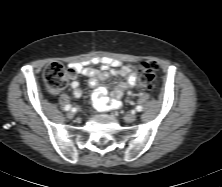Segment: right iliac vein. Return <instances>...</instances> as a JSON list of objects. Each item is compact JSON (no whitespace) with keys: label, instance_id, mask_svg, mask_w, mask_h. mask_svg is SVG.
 <instances>
[{"label":"right iliac vein","instance_id":"right-iliac-vein-1","mask_svg":"<svg viewBox=\"0 0 222 187\" xmlns=\"http://www.w3.org/2000/svg\"><path fill=\"white\" fill-rule=\"evenodd\" d=\"M66 116H67V118L72 119V118H74L75 113L73 111H69Z\"/></svg>","mask_w":222,"mask_h":187}]
</instances>
